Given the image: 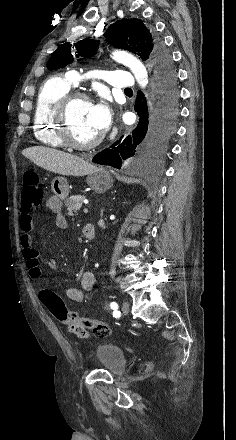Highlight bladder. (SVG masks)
<instances>
[{
  "instance_id": "obj_1",
  "label": "bladder",
  "mask_w": 236,
  "mask_h": 440,
  "mask_svg": "<svg viewBox=\"0 0 236 440\" xmlns=\"http://www.w3.org/2000/svg\"><path fill=\"white\" fill-rule=\"evenodd\" d=\"M96 362L101 369L117 374L123 370L126 359L121 348L107 343L96 348Z\"/></svg>"
}]
</instances>
